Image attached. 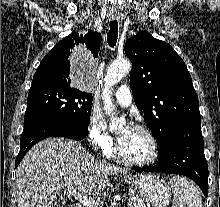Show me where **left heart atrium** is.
Wrapping results in <instances>:
<instances>
[{"label": "left heart atrium", "mask_w": 220, "mask_h": 207, "mask_svg": "<svg viewBox=\"0 0 220 207\" xmlns=\"http://www.w3.org/2000/svg\"><path fill=\"white\" fill-rule=\"evenodd\" d=\"M130 129H131L130 126H126V127H125V130H126V131H129Z\"/></svg>", "instance_id": "39dd6f15"}]
</instances>
